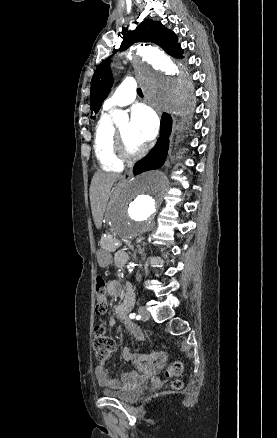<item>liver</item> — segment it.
<instances>
[{
    "instance_id": "1",
    "label": "liver",
    "mask_w": 277,
    "mask_h": 438,
    "mask_svg": "<svg viewBox=\"0 0 277 438\" xmlns=\"http://www.w3.org/2000/svg\"><path fill=\"white\" fill-rule=\"evenodd\" d=\"M121 178L119 174H109V172H96L92 178L90 186V202L93 220L97 230L102 226L104 212L107 202L111 196V188L114 182Z\"/></svg>"
}]
</instances>
